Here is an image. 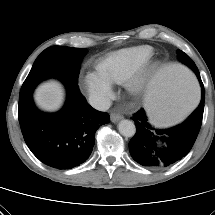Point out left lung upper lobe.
Segmentation results:
<instances>
[{
	"label": "left lung upper lobe",
	"mask_w": 215,
	"mask_h": 215,
	"mask_svg": "<svg viewBox=\"0 0 215 215\" xmlns=\"http://www.w3.org/2000/svg\"><path fill=\"white\" fill-rule=\"evenodd\" d=\"M177 53H178V58L179 60L184 63L185 65H187L188 67H190L194 72L195 74L199 75V71H198V68L196 67L195 63L192 61V59L186 54L184 53L183 51L181 50H177Z\"/></svg>",
	"instance_id": "left-lung-upper-lobe-1"
}]
</instances>
